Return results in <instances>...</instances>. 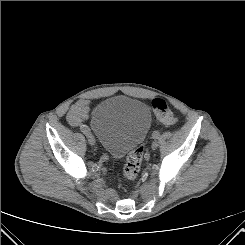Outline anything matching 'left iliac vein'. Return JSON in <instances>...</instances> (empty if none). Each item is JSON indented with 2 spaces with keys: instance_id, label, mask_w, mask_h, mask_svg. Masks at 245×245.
I'll return each instance as SVG.
<instances>
[{
  "instance_id": "left-iliac-vein-1",
  "label": "left iliac vein",
  "mask_w": 245,
  "mask_h": 245,
  "mask_svg": "<svg viewBox=\"0 0 245 245\" xmlns=\"http://www.w3.org/2000/svg\"><path fill=\"white\" fill-rule=\"evenodd\" d=\"M158 147V142L154 141L151 145L152 150H156Z\"/></svg>"
}]
</instances>
